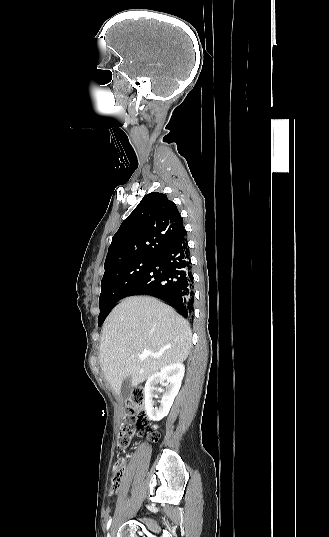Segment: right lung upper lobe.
<instances>
[{
    "label": "right lung upper lobe",
    "mask_w": 329,
    "mask_h": 537,
    "mask_svg": "<svg viewBox=\"0 0 329 537\" xmlns=\"http://www.w3.org/2000/svg\"><path fill=\"white\" fill-rule=\"evenodd\" d=\"M176 205L162 193L147 194L112 238L104 268L153 258L185 233Z\"/></svg>",
    "instance_id": "right-lung-upper-lobe-1"
}]
</instances>
